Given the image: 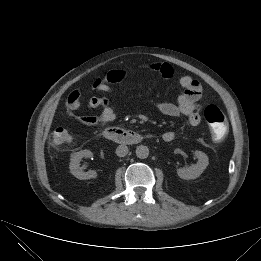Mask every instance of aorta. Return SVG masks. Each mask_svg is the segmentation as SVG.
<instances>
[{"instance_id": "762f6f07", "label": "aorta", "mask_w": 261, "mask_h": 261, "mask_svg": "<svg viewBox=\"0 0 261 261\" xmlns=\"http://www.w3.org/2000/svg\"><path fill=\"white\" fill-rule=\"evenodd\" d=\"M136 156L140 159H146L149 156V149L147 146L139 145L136 148Z\"/></svg>"}]
</instances>
